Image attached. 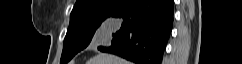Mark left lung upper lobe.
Here are the masks:
<instances>
[{
	"label": "left lung upper lobe",
	"instance_id": "obj_1",
	"mask_svg": "<svg viewBox=\"0 0 242 64\" xmlns=\"http://www.w3.org/2000/svg\"><path fill=\"white\" fill-rule=\"evenodd\" d=\"M127 0H77L70 15L60 64H66L90 43L95 31Z\"/></svg>",
	"mask_w": 242,
	"mask_h": 64
}]
</instances>
